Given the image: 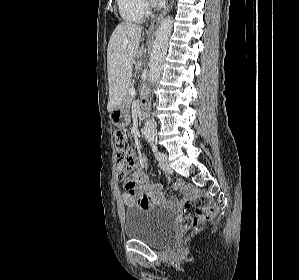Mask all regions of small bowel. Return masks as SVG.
Listing matches in <instances>:
<instances>
[{
  "label": "small bowel",
  "instance_id": "1",
  "mask_svg": "<svg viewBox=\"0 0 299 280\" xmlns=\"http://www.w3.org/2000/svg\"><path fill=\"white\" fill-rule=\"evenodd\" d=\"M133 167H135L131 178L125 184V192L122 193V200L127 207L138 206L149 208L152 206H164L178 209L181 207V200L174 197L166 200L160 184L149 181L146 177L147 159L145 157L136 159L133 154ZM181 183L178 184V187Z\"/></svg>",
  "mask_w": 299,
  "mask_h": 280
}]
</instances>
